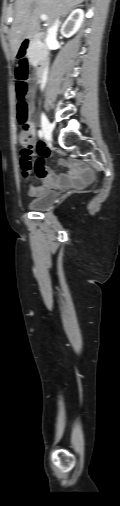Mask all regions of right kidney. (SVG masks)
<instances>
[{
	"instance_id": "1",
	"label": "right kidney",
	"mask_w": 120,
	"mask_h": 506,
	"mask_svg": "<svg viewBox=\"0 0 120 506\" xmlns=\"http://www.w3.org/2000/svg\"><path fill=\"white\" fill-rule=\"evenodd\" d=\"M83 19L84 11L82 9L72 11L61 27V34L67 38L74 35L80 28Z\"/></svg>"
}]
</instances>
